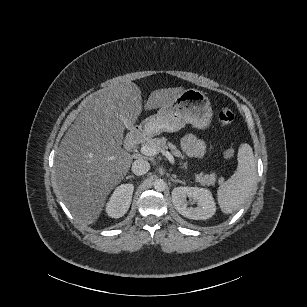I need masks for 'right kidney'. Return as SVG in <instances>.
Masks as SVG:
<instances>
[{"mask_svg": "<svg viewBox=\"0 0 307 307\" xmlns=\"http://www.w3.org/2000/svg\"><path fill=\"white\" fill-rule=\"evenodd\" d=\"M134 190L133 183L118 185L105 203V213L111 218H120L128 211Z\"/></svg>", "mask_w": 307, "mask_h": 307, "instance_id": "obj_1", "label": "right kidney"}]
</instances>
